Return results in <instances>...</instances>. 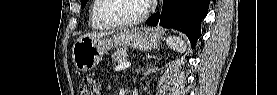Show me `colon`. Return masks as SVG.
Returning <instances> with one entry per match:
<instances>
[{
  "mask_svg": "<svg viewBox=\"0 0 277 95\" xmlns=\"http://www.w3.org/2000/svg\"><path fill=\"white\" fill-rule=\"evenodd\" d=\"M81 95H99V83L91 77H83L80 81Z\"/></svg>",
  "mask_w": 277,
  "mask_h": 95,
  "instance_id": "colon-1",
  "label": "colon"
}]
</instances>
